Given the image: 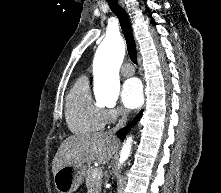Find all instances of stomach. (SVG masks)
Wrapping results in <instances>:
<instances>
[{
  "mask_svg": "<svg viewBox=\"0 0 221 193\" xmlns=\"http://www.w3.org/2000/svg\"><path fill=\"white\" fill-rule=\"evenodd\" d=\"M86 174L84 165H67L54 174V184L58 193H73L77 190Z\"/></svg>",
  "mask_w": 221,
  "mask_h": 193,
  "instance_id": "obj_1",
  "label": "stomach"
}]
</instances>
